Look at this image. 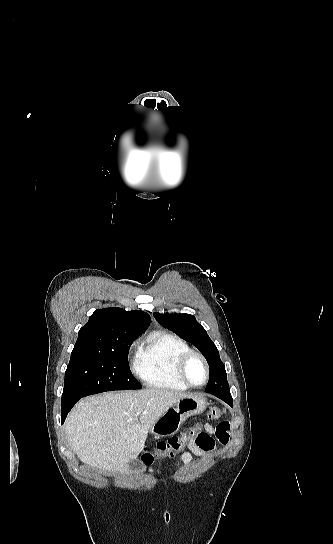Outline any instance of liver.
I'll return each mask as SVG.
<instances>
[{
	"mask_svg": "<svg viewBox=\"0 0 333 544\" xmlns=\"http://www.w3.org/2000/svg\"><path fill=\"white\" fill-rule=\"evenodd\" d=\"M186 396L177 391L145 389L87 397L69 413L65 431L82 462L123 473L141 453L152 425Z\"/></svg>",
	"mask_w": 333,
	"mask_h": 544,
	"instance_id": "1",
	"label": "liver"
}]
</instances>
